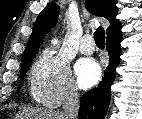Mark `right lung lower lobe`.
<instances>
[{
	"instance_id": "obj_1",
	"label": "right lung lower lobe",
	"mask_w": 142,
	"mask_h": 119,
	"mask_svg": "<svg viewBox=\"0 0 142 119\" xmlns=\"http://www.w3.org/2000/svg\"><path fill=\"white\" fill-rule=\"evenodd\" d=\"M120 42L121 34L107 38L106 49L110 57L109 65L98 87L82 96L79 109L80 119H104L110 102L111 85L115 80L116 68L120 62Z\"/></svg>"
}]
</instances>
